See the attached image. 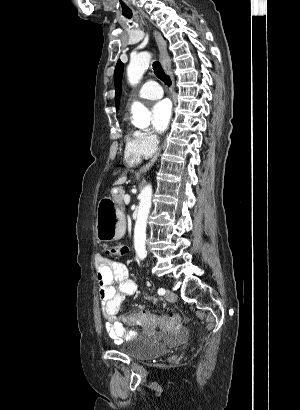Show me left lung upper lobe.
Listing matches in <instances>:
<instances>
[{
	"instance_id": "left-lung-upper-lobe-1",
	"label": "left lung upper lobe",
	"mask_w": 300,
	"mask_h": 410,
	"mask_svg": "<svg viewBox=\"0 0 300 410\" xmlns=\"http://www.w3.org/2000/svg\"><path fill=\"white\" fill-rule=\"evenodd\" d=\"M122 73H123V63L118 60L116 67H115V72H114V82H115V103H116V108L118 109L119 107V100L121 96V79H122Z\"/></svg>"
}]
</instances>
